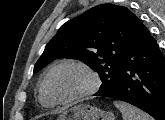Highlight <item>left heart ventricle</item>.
Here are the masks:
<instances>
[{"label": "left heart ventricle", "mask_w": 165, "mask_h": 120, "mask_svg": "<svg viewBox=\"0 0 165 120\" xmlns=\"http://www.w3.org/2000/svg\"><path fill=\"white\" fill-rule=\"evenodd\" d=\"M90 84L87 74L77 67L66 66L56 70L50 78V89L60 99L70 98Z\"/></svg>", "instance_id": "b2bd125f"}]
</instances>
